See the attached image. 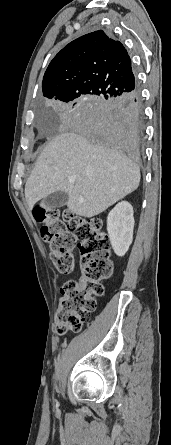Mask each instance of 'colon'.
Listing matches in <instances>:
<instances>
[{
	"mask_svg": "<svg viewBox=\"0 0 171 445\" xmlns=\"http://www.w3.org/2000/svg\"><path fill=\"white\" fill-rule=\"evenodd\" d=\"M35 217L42 224V240L49 245L50 257L59 272H72L73 250L79 248L81 275L60 290L56 331L60 335L80 331L96 308V298L104 293L101 281L112 274L103 222L98 217H74L68 213L60 218L55 209H37Z\"/></svg>",
	"mask_w": 171,
	"mask_h": 445,
	"instance_id": "colon-1",
	"label": "colon"
}]
</instances>
